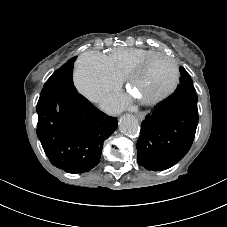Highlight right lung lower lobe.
Returning <instances> with one entry per match:
<instances>
[{
  "mask_svg": "<svg viewBox=\"0 0 227 227\" xmlns=\"http://www.w3.org/2000/svg\"><path fill=\"white\" fill-rule=\"evenodd\" d=\"M37 136L50 162L65 172L84 173L99 162L103 142L116 130L106 115L77 92L40 95Z\"/></svg>",
  "mask_w": 227,
  "mask_h": 227,
  "instance_id": "obj_1",
  "label": "right lung lower lobe"
}]
</instances>
